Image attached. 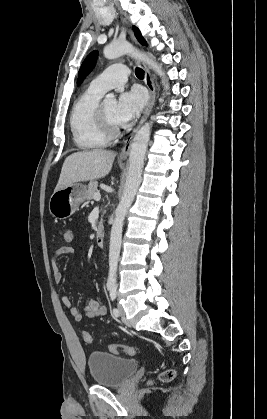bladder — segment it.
Here are the masks:
<instances>
[{
    "mask_svg": "<svg viewBox=\"0 0 267 419\" xmlns=\"http://www.w3.org/2000/svg\"><path fill=\"white\" fill-rule=\"evenodd\" d=\"M87 364L92 381L99 386L124 385L138 370V362L103 351L89 354Z\"/></svg>",
    "mask_w": 267,
    "mask_h": 419,
    "instance_id": "31cf9c89",
    "label": "bladder"
}]
</instances>
